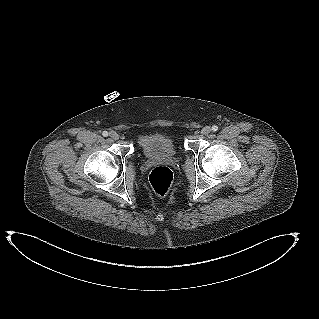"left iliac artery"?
<instances>
[{
	"mask_svg": "<svg viewBox=\"0 0 319 319\" xmlns=\"http://www.w3.org/2000/svg\"><path fill=\"white\" fill-rule=\"evenodd\" d=\"M212 130H213L214 132L217 131V130H218V126H217V125L212 126Z\"/></svg>",
	"mask_w": 319,
	"mask_h": 319,
	"instance_id": "44dca946",
	"label": "left iliac artery"
}]
</instances>
